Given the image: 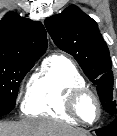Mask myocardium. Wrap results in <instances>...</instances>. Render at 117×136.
Wrapping results in <instances>:
<instances>
[{"label":"myocardium","mask_w":117,"mask_h":136,"mask_svg":"<svg viewBox=\"0 0 117 136\" xmlns=\"http://www.w3.org/2000/svg\"><path fill=\"white\" fill-rule=\"evenodd\" d=\"M86 97L92 98L96 105L97 114L95 119L92 121L85 120L81 116L79 111L80 103ZM65 109L68 112V114L75 120L88 125L96 123L100 119L102 114V106L98 95L95 93V91H93L91 88L87 86L77 87L68 93L65 103Z\"/></svg>","instance_id":"1"}]
</instances>
